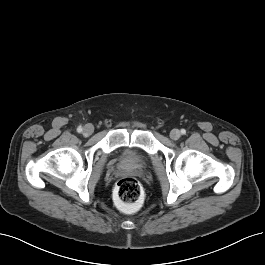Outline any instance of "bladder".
I'll use <instances>...</instances> for the list:
<instances>
[{"label":"bladder","mask_w":265,"mask_h":265,"mask_svg":"<svg viewBox=\"0 0 265 265\" xmlns=\"http://www.w3.org/2000/svg\"><path fill=\"white\" fill-rule=\"evenodd\" d=\"M122 158L125 162L134 164V165H142L147 161V157L144 154L128 151L122 155Z\"/></svg>","instance_id":"obj_1"}]
</instances>
